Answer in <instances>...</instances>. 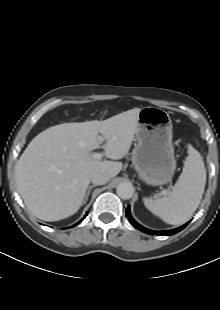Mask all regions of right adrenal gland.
<instances>
[{
	"mask_svg": "<svg viewBox=\"0 0 220 310\" xmlns=\"http://www.w3.org/2000/svg\"><path fill=\"white\" fill-rule=\"evenodd\" d=\"M95 186H96V185H91V186H89V188H88V190H87V192H86V194H85V196H84L83 204H85V203L87 202L88 197H89V195H90V192H91V190H92Z\"/></svg>",
	"mask_w": 220,
	"mask_h": 310,
	"instance_id": "right-adrenal-gland-1",
	"label": "right adrenal gland"
}]
</instances>
